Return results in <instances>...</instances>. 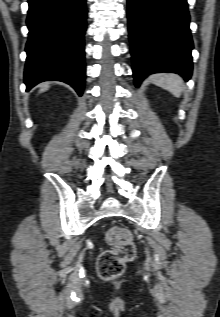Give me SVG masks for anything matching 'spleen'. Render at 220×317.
I'll return each instance as SVG.
<instances>
[{
  "label": "spleen",
  "mask_w": 220,
  "mask_h": 317,
  "mask_svg": "<svg viewBox=\"0 0 220 317\" xmlns=\"http://www.w3.org/2000/svg\"><path fill=\"white\" fill-rule=\"evenodd\" d=\"M150 80L175 96H180L183 90L182 78L174 73H157L150 76Z\"/></svg>",
  "instance_id": "spleen-1"
}]
</instances>
